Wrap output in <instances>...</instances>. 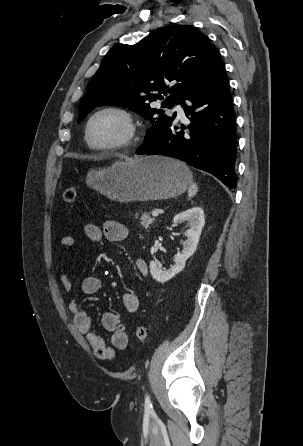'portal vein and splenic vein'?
I'll list each match as a JSON object with an SVG mask.
<instances>
[{
    "mask_svg": "<svg viewBox=\"0 0 303 446\" xmlns=\"http://www.w3.org/2000/svg\"><path fill=\"white\" fill-rule=\"evenodd\" d=\"M159 215V212L157 210L152 211V216L157 217Z\"/></svg>",
    "mask_w": 303,
    "mask_h": 446,
    "instance_id": "18ae733b",
    "label": "portal vein and splenic vein"
}]
</instances>
